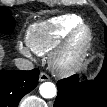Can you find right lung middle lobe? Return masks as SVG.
<instances>
[{
    "instance_id": "dd1d6c3e",
    "label": "right lung middle lobe",
    "mask_w": 107,
    "mask_h": 107,
    "mask_svg": "<svg viewBox=\"0 0 107 107\" xmlns=\"http://www.w3.org/2000/svg\"><path fill=\"white\" fill-rule=\"evenodd\" d=\"M16 22L11 11L5 7H0V32L10 33L13 31Z\"/></svg>"
}]
</instances>
